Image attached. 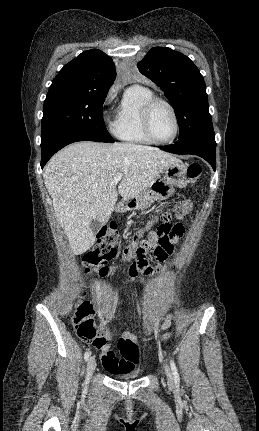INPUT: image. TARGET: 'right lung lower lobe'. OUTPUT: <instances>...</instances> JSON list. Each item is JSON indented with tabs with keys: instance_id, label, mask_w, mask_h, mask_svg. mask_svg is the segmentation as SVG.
I'll list each match as a JSON object with an SVG mask.
<instances>
[{
	"instance_id": "98d812e1",
	"label": "right lung lower lobe",
	"mask_w": 259,
	"mask_h": 431,
	"mask_svg": "<svg viewBox=\"0 0 259 431\" xmlns=\"http://www.w3.org/2000/svg\"><path fill=\"white\" fill-rule=\"evenodd\" d=\"M78 141L108 142L94 136L93 134L85 133L80 130H61L55 132L41 142V168L44 167V165L54 155V153H56L66 145Z\"/></svg>"
}]
</instances>
